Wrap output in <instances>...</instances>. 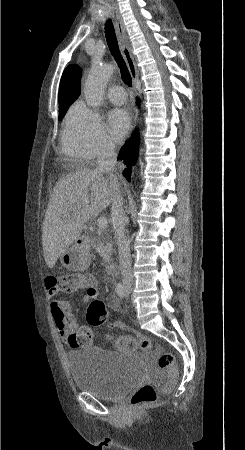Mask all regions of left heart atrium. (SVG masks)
<instances>
[{
    "label": "left heart atrium",
    "instance_id": "obj_1",
    "mask_svg": "<svg viewBox=\"0 0 245 450\" xmlns=\"http://www.w3.org/2000/svg\"><path fill=\"white\" fill-rule=\"evenodd\" d=\"M131 118L126 109L114 108L108 114L110 133L115 141H122L130 127Z\"/></svg>",
    "mask_w": 245,
    "mask_h": 450
}]
</instances>
